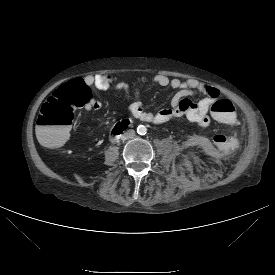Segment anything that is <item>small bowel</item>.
<instances>
[{
	"mask_svg": "<svg viewBox=\"0 0 275 275\" xmlns=\"http://www.w3.org/2000/svg\"><path fill=\"white\" fill-rule=\"evenodd\" d=\"M84 81L87 85L98 89L113 88L121 92L128 103V110L134 118L154 124H163L171 119L184 116L201 127H208L212 123V116L209 114L211 103L215 98L221 97L218 89L210 85L201 84L195 79L183 81L178 78H170L164 74H157L152 78L139 77L137 79L139 83H152L176 90L170 106L153 113L144 110L138 98L139 91L132 89L131 85L126 81L102 74L88 75L84 78ZM197 94H203L205 97L194 103L189 98ZM100 108L101 103L99 101H92L86 107L87 110H99ZM218 120L230 125L238 123L236 117L228 122ZM212 143L213 151L216 155L228 157L241 149L242 138L237 133L227 134L224 131H217L212 136Z\"/></svg>",
	"mask_w": 275,
	"mask_h": 275,
	"instance_id": "c3829d8e",
	"label": "small bowel"
}]
</instances>
